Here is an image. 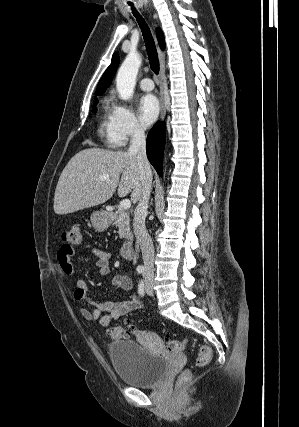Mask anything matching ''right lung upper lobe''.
<instances>
[{
  "mask_svg": "<svg viewBox=\"0 0 299 427\" xmlns=\"http://www.w3.org/2000/svg\"><path fill=\"white\" fill-rule=\"evenodd\" d=\"M157 38H158L161 49H164L165 47L164 36L160 29H157ZM118 64H119V54L116 52L112 56L111 65L107 68V70L104 72L102 78L99 81V84L96 90L97 95H101L105 91V89L110 85L113 79V76L116 72V69L118 67Z\"/></svg>",
  "mask_w": 299,
  "mask_h": 427,
  "instance_id": "cb5924a9",
  "label": "right lung upper lobe"
}]
</instances>
